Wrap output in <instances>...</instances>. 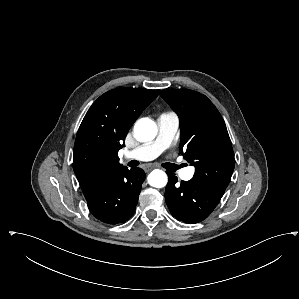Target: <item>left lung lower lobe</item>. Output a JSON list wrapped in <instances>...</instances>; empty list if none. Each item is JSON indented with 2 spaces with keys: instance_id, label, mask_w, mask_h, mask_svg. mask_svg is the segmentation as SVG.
<instances>
[{
  "instance_id": "left-lung-lower-lobe-1",
  "label": "left lung lower lobe",
  "mask_w": 299,
  "mask_h": 299,
  "mask_svg": "<svg viewBox=\"0 0 299 299\" xmlns=\"http://www.w3.org/2000/svg\"><path fill=\"white\" fill-rule=\"evenodd\" d=\"M167 174L169 181L165 198L171 214L177 220L186 223H198L204 220L212 213L224 194L193 178L178 184L174 173L167 172Z\"/></svg>"
}]
</instances>
